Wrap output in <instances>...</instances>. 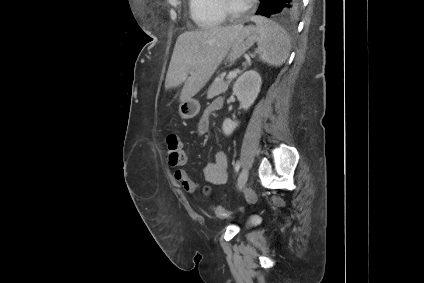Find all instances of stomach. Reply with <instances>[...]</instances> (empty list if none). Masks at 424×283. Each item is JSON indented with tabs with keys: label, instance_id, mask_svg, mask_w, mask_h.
Segmentation results:
<instances>
[{
	"label": "stomach",
	"instance_id": "0dacf381",
	"mask_svg": "<svg viewBox=\"0 0 424 283\" xmlns=\"http://www.w3.org/2000/svg\"><path fill=\"white\" fill-rule=\"evenodd\" d=\"M257 39L258 30L255 27H243L229 47L227 56L229 63L233 64L257 41ZM199 111L200 103L192 97L181 101L179 105V114L182 119L193 118Z\"/></svg>",
	"mask_w": 424,
	"mask_h": 283
}]
</instances>
